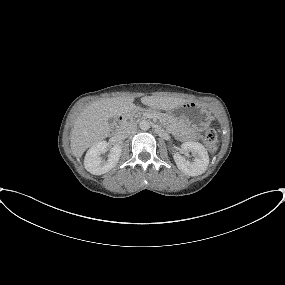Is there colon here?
Listing matches in <instances>:
<instances>
[{
  "mask_svg": "<svg viewBox=\"0 0 285 285\" xmlns=\"http://www.w3.org/2000/svg\"><path fill=\"white\" fill-rule=\"evenodd\" d=\"M204 141L209 150H215L218 143L217 132L214 129H208L204 134Z\"/></svg>",
  "mask_w": 285,
  "mask_h": 285,
  "instance_id": "1",
  "label": "colon"
}]
</instances>
